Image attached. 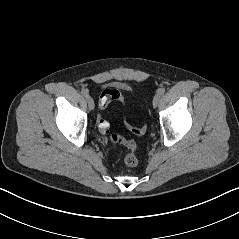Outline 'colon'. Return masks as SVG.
Segmentation results:
<instances>
[{
  "instance_id": "colon-1",
  "label": "colon",
  "mask_w": 239,
  "mask_h": 239,
  "mask_svg": "<svg viewBox=\"0 0 239 239\" xmlns=\"http://www.w3.org/2000/svg\"><path fill=\"white\" fill-rule=\"evenodd\" d=\"M112 100H120L123 101L122 96L119 91L115 89H105L99 100V105L101 109H104L108 103ZM98 127L103 134H109V123L102 116L98 119ZM125 127L134 135H142L146 131V124L141 127H132L125 123ZM110 140L114 143L124 145L128 151L122 155L123 162L127 166H135L138 163V153H137V145L134 141L127 140L121 135L118 134H109Z\"/></svg>"
}]
</instances>
